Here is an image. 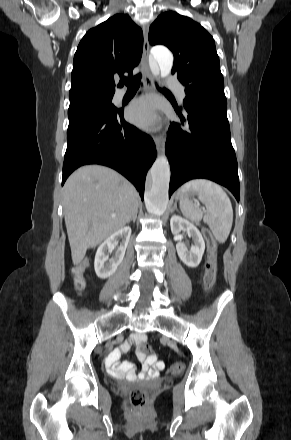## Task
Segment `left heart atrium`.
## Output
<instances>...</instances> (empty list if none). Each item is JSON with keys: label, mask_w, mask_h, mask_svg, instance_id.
I'll return each instance as SVG.
<instances>
[{"label": "left heart atrium", "mask_w": 291, "mask_h": 440, "mask_svg": "<svg viewBox=\"0 0 291 440\" xmlns=\"http://www.w3.org/2000/svg\"><path fill=\"white\" fill-rule=\"evenodd\" d=\"M127 116L134 124L148 127L155 120L154 104L149 99H141L131 105L128 109Z\"/></svg>", "instance_id": "1"}]
</instances>
